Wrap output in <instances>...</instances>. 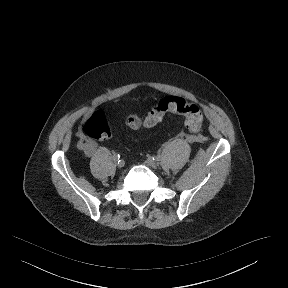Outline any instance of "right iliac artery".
<instances>
[{
	"instance_id": "right-iliac-artery-1",
	"label": "right iliac artery",
	"mask_w": 288,
	"mask_h": 288,
	"mask_svg": "<svg viewBox=\"0 0 288 288\" xmlns=\"http://www.w3.org/2000/svg\"><path fill=\"white\" fill-rule=\"evenodd\" d=\"M119 158H120V154L119 153H114L113 159L114 160H119Z\"/></svg>"
}]
</instances>
